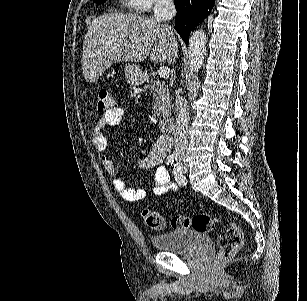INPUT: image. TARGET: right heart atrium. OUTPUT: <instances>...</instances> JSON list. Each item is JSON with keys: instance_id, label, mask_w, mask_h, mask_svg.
Instances as JSON below:
<instances>
[{"instance_id": "obj_1", "label": "right heart atrium", "mask_w": 307, "mask_h": 301, "mask_svg": "<svg viewBox=\"0 0 307 301\" xmlns=\"http://www.w3.org/2000/svg\"><path fill=\"white\" fill-rule=\"evenodd\" d=\"M135 4V11H154L155 7H160V0H132Z\"/></svg>"}]
</instances>
